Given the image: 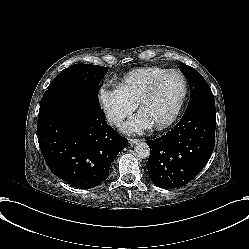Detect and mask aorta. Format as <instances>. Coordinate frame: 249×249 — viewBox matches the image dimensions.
Masks as SVG:
<instances>
[{
	"mask_svg": "<svg viewBox=\"0 0 249 249\" xmlns=\"http://www.w3.org/2000/svg\"><path fill=\"white\" fill-rule=\"evenodd\" d=\"M134 155L137 158L146 159L150 155V147L144 142H139L134 146Z\"/></svg>",
	"mask_w": 249,
	"mask_h": 249,
	"instance_id": "1",
	"label": "aorta"
}]
</instances>
